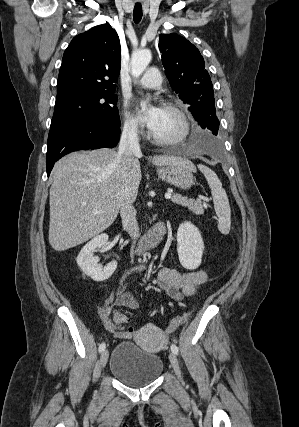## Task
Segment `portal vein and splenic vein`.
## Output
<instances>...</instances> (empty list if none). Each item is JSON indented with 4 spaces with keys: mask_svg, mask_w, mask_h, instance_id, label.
<instances>
[{
    "mask_svg": "<svg viewBox=\"0 0 299 427\" xmlns=\"http://www.w3.org/2000/svg\"><path fill=\"white\" fill-rule=\"evenodd\" d=\"M165 198L166 199H170L171 198V194H165Z\"/></svg>",
    "mask_w": 299,
    "mask_h": 427,
    "instance_id": "obj_1",
    "label": "portal vein and splenic vein"
}]
</instances>
